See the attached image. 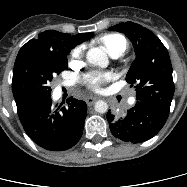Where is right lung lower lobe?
I'll list each match as a JSON object with an SVG mask.
<instances>
[{"label":"right lung lower lobe","instance_id":"1","mask_svg":"<svg viewBox=\"0 0 187 187\" xmlns=\"http://www.w3.org/2000/svg\"><path fill=\"white\" fill-rule=\"evenodd\" d=\"M67 105L54 106L50 95L17 105L19 119L27 135L50 151H64L82 136L87 105L69 97Z\"/></svg>","mask_w":187,"mask_h":187}]
</instances>
